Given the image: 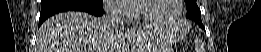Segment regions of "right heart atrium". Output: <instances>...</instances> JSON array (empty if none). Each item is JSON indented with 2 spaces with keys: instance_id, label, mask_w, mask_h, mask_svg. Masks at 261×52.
Here are the masks:
<instances>
[{
  "instance_id": "obj_1",
  "label": "right heart atrium",
  "mask_w": 261,
  "mask_h": 52,
  "mask_svg": "<svg viewBox=\"0 0 261 52\" xmlns=\"http://www.w3.org/2000/svg\"><path fill=\"white\" fill-rule=\"evenodd\" d=\"M125 0H104V10L110 17L127 18L128 10L125 8Z\"/></svg>"
}]
</instances>
